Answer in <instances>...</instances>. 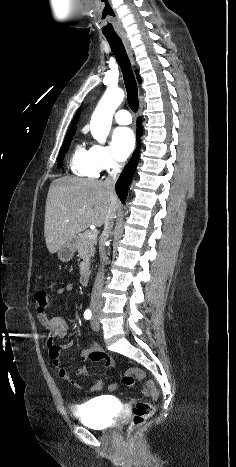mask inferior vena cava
I'll return each instance as SVG.
<instances>
[{"label": "inferior vena cava", "mask_w": 236, "mask_h": 467, "mask_svg": "<svg viewBox=\"0 0 236 467\" xmlns=\"http://www.w3.org/2000/svg\"><path fill=\"white\" fill-rule=\"evenodd\" d=\"M119 168H115L109 176L104 181L105 186L111 191L114 192V187L116 180L118 178ZM112 217L109 215L105 220L104 230L101 235V244L99 246V254H100V262H101V269L97 275L92 294H91V302L90 306L92 309L102 307L103 300H102V289H103V279H104V264L107 261L106 257V250H105V241L109 238L111 234V230L113 228V221Z\"/></svg>", "instance_id": "inferior-vena-cava-1"}]
</instances>
